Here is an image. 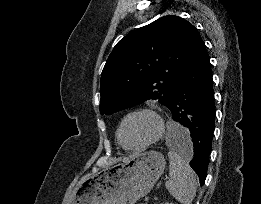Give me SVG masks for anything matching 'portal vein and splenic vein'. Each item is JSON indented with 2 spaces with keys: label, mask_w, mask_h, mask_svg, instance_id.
Listing matches in <instances>:
<instances>
[{
  "label": "portal vein and splenic vein",
  "mask_w": 261,
  "mask_h": 204,
  "mask_svg": "<svg viewBox=\"0 0 261 204\" xmlns=\"http://www.w3.org/2000/svg\"><path fill=\"white\" fill-rule=\"evenodd\" d=\"M141 204H148V197L145 198V200L143 201V203Z\"/></svg>",
  "instance_id": "18ae733b"
}]
</instances>
